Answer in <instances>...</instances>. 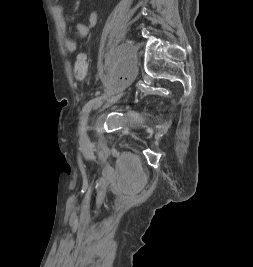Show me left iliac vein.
I'll return each instance as SVG.
<instances>
[{
	"instance_id": "1",
	"label": "left iliac vein",
	"mask_w": 253,
	"mask_h": 267,
	"mask_svg": "<svg viewBox=\"0 0 253 267\" xmlns=\"http://www.w3.org/2000/svg\"><path fill=\"white\" fill-rule=\"evenodd\" d=\"M124 93L121 92L118 95L113 96L110 92L106 93V96L104 98H106V104L102 107L107 108L109 105L115 103L116 101H118L122 95ZM88 121L87 119L84 120L83 124H82V128H81V140L83 141V143L88 144L90 142V139L88 137Z\"/></svg>"
}]
</instances>
